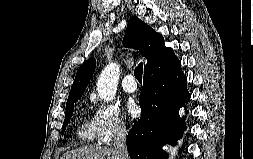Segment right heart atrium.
Masks as SVG:
<instances>
[{"label":"right heart atrium","mask_w":253,"mask_h":159,"mask_svg":"<svg viewBox=\"0 0 253 159\" xmlns=\"http://www.w3.org/2000/svg\"><path fill=\"white\" fill-rule=\"evenodd\" d=\"M93 123L97 131V139L101 144H110L114 139L124 135L127 124L118 107L111 103L99 102L93 96Z\"/></svg>","instance_id":"1"}]
</instances>
